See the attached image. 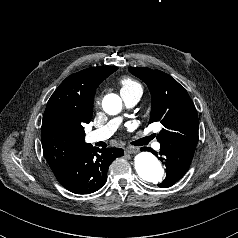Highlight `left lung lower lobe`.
I'll use <instances>...</instances> for the list:
<instances>
[{
	"label": "left lung lower lobe",
	"instance_id": "1",
	"mask_svg": "<svg viewBox=\"0 0 238 238\" xmlns=\"http://www.w3.org/2000/svg\"><path fill=\"white\" fill-rule=\"evenodd\" d=\"M194 152V147L161 144L158 158L166 167V178L158 186L168 188L181 179L190 167Z\"/></svg>",
	"mask_w": 238,
	"mask_h": 238
}]
</instances>
